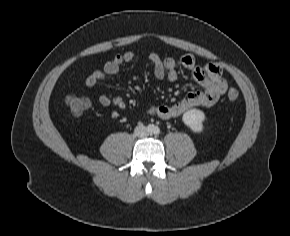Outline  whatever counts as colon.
Wrapping results in <instances>:
<instances>
[{"label": "colon", "instance_id": "obj_1", "mask_svg": "<svg viewBox=\"0 0 290 236\" xmlns=\"http://www.w3.org/2000/svg\"><path fill=\"white\" fill-rule=\"evenodd\" d=\"M239 97V93L236 89H230L227 92V98L230 101H235ZM65 103L70 110L71 114L74 116H79L83 114L90 106V101L84 96H79L76 94H69L65 98Z\"/></svg>", "mask_w": 290, "mask_h": 236}]
</instances>
